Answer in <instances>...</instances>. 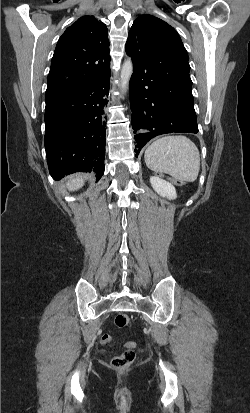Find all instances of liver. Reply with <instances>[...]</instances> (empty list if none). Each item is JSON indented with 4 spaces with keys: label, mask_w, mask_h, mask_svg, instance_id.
Wrapping results in <instances>:
<instances>
[{
    "label": "liver",
    "mask_w": 250,
    "mask_h": 413,
    "mask_svg": "<svg viewBox=\"0 0 250 413\" xmlns=\"http://www.w3.org/2000/svg\"><path fill=\"white\" fill-rule=\"evenodd\" d=\"M84 185V177L82 175H75L70 177L67 182V188L70 191L80 189Z\"/></svg>",
    "instance_id": "obj_1"
}]
</instances>
